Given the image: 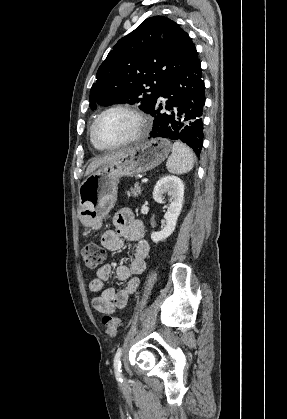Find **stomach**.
I'll return each mask as SVG.
<instances>
[{
    "instance_id": "obj_1",
    "label": "stomach",
    "mask_w": 287,
    "mask_h": 419,
    "mask_svg": "<svg viewBox=\"0 0 287 419\" xmlns=\"http://www.w3.org/2000/svg\"><path fill=\"white\" fill-rule=\"evenodd\" d=\"M171 151L164 138L148 140L91 173L79 187V216L98 225L114 207L119 179L149 171L162 163Z\"/></svg>"
}]
</instances>
